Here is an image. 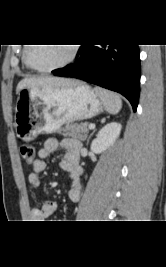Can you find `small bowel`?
Here are the masks:
<instances>
[{
  "label": "small bowel",
  "instance_id": "c3829d8e",
  "mask_svg": "<svg viewBox=\"0 0 166 267\" xmlns=\"http://www.w3.org/2000/svg\"><path fill=\"white\" fill-rule=\"evenodd\" d=\"M59 148L64 151V157L60 162V166L70 174L72 180L68 196L71 201L77 202L80 200L82 192V168L79 165L81 142L78 139L66 138L62 141L56 138L47 139L44 146L38 151L37 159L32 162L28 179L34 188H38L41 185L40 175L47 166L46 159ZM57 207L55 201L45 200L39 208H34L31 211L30 216L35 222H42L52 216L56 212Z\"/></svg>",
  "mask_w": 166,
  "mask_h": 267
}]
</instances>
